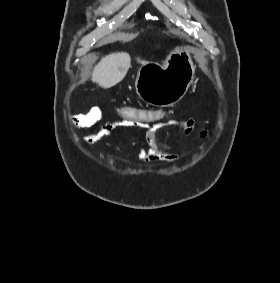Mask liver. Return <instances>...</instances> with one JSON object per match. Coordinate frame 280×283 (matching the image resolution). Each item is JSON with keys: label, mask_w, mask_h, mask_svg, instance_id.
Segmentation results:
<instances>
[{"label": "liver", "mask_w": 280, "mask_h": 283, "mask_svg": "<svg viewBox=\"0 0 280 283\" xmlns=\"http://www.w3.org/2000/svg\"><path fill=\"white\" fill-rule=\"evenodd\" d=\"M137 61L141 64L147 61ZM131 66V58L126 52L111 53L101 59L92 73V81L103 88H111L122 81Z\"/></svg>", "instance_id": "1"}]
</instances>
